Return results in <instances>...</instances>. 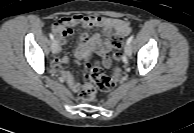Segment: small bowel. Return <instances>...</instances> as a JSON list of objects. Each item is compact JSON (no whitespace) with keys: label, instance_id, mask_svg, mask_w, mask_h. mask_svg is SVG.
<instances>
[{"label":"small bowel","instance_id":"small-bowel-1","mask_svg":"<svg viewBox=\"0 0 194 133\" xmlns=\"http://www.w3.org/2000/svg\"><path fill=\"white\" fill-rule=\"evenodd\" d=\"M76 25H82L86 29H102L101 33H96L93 36H90L88 32H84L80 37L78 52L81 54L88 46H92L102 57V63L107 68L111 65L109 53L113 48L108 38L112 33L126 36L131 31L129 24L121 19L94 15H72L56 22L52 27L53 32L58 37L60 51L62 50L61 47L66 44L67 38L73 35L72 27ZM103 36L105 39H103ZM67 62L68 58L66 56H61L53 61L52 67L61 73L62 77L67 81L73 91H78L79 84L74 81L69 72L63 69V66Z\"/></svg>","mask_w":194,"mask_h":133}]
</instances>
